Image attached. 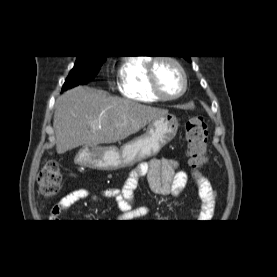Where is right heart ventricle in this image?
<instances>
[{
	"mask_svg": "<svg viewBox=\"0 0 277 277\" xmlns=\"http://www.w3.org/2000/svg\"><path fill=\"white\" fill-rule=\"evenodd\" d=\"M147 57H128L120 65L119 91L132 100L152 103L161 101L150 89Z\"/></svg>",
	"mask_w": 277,
	"mask_h": 277,
	"instance_id": "obj_1",
	"label": "right heart ventricle"
}]
</instances>
